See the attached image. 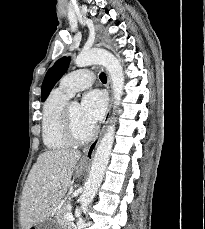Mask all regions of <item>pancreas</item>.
I'll list each match as a JSON object with an SVG mask.
<instances>
[{"label": "pancreas", "instance_id": "pancreas-1", "mask_svg": "<svg viewBox=\"0 0 205 229\" xmlns=\"http://www.w3.org/2000/svg\"><path fill=\"white\" fill-rule=\"evenodd\" d=\"M71 211V207L64 204L61 209L57 211L56 221L60 225L61 229H73L71 222L65 219V214Z\"/></svg>", "mask_w": 205, "mask_h": 229}]
</instances>
